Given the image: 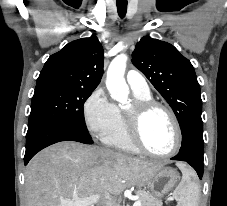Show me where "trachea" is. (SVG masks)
Returning a JSON list of instances; mask_svg holds the SVG:
<instances>
[{"instance_id":"1","label":"trachea","mask_w":227,"mask_h":206,"mask_svg":"<svg viewBox=\"0 0 227 206\" xmlns=\"http://www.w3.org/2000/svg\"><path fill=\"white\" fill-rule=\"evenodd\" d=\"M117 10L120 18H124L127 12V0H117Z\"/></svg>"}]
</instances>
